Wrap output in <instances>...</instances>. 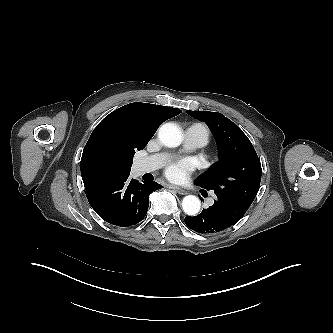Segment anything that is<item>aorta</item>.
Segmentation results:
<instances>
[{
	"instance_id": "obj_1",
	"label": "aorta",
	"mask_w": 333,
	"mask_h": 333,
	"mask_svg": "<svg viewBox=\"0 0 333 333\" xmlns=\"http://www.w3.org/2000/svg\"><path fill=\"white\" fill-rule=\"evenodd\" d=\"M160 141L167 147H177L182 142V134L179 127L174 123L163 124L158 132ZM201 207V202L194 195L185 196L182 200L183 211L189 215H196Z\"/></svg>"
}]
</instances>
